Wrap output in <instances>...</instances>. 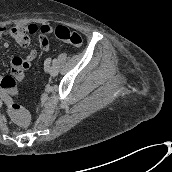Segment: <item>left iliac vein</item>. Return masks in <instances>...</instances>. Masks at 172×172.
<instances>
[{
    "label": "left iliac vein",
    "mask_w": 172,
    "mask_h": 172,
    "mask_svg": "<svg viewBox=\"0 0 172 172\" xmlns=\"http://www.w3.org/2000/svg\"><path fill=\"white\" fill-rule=\"evenodd\" d=\"M45 70L49 72V74L55 77L58 74V69L55 65L45 66Z\"/></svg>",
    "instance_id": "4c4485c4"
}]
</instances>
